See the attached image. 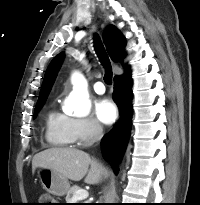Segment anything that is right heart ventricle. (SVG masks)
Masks as SVG:
<instances>
[{"label":"right heart ventricle","instance_id":"1","mask_svg":"<svg viewBox=\"0 0 200 205\" xmlns=\"http://www.w3.org/2000/svg\"><path fill=\"white\" fill-rule=\"evenodd\" d=\"M45 138L53 146L68 147L74 143L70 130V117L51 110L45 120Z\"/></svg>","mask_w":200,"mask_h":205}]
</instances>
